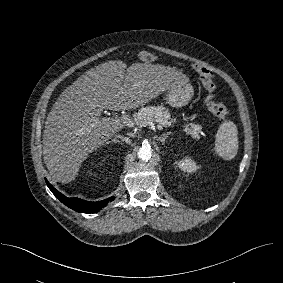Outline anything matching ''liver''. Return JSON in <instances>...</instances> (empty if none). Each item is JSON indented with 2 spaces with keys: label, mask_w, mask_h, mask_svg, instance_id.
Instances as JSON below:
<instances>
[{
  "label": "liver",
  "mask_w": 283,
  "mask_h": 283,
  "mask_svg": "<svg viewBox=\"0 0 283 283\" xmlns=\"http://www.w3.org/2000/svg\"><path fill=\"white\" fill-rule=\"evenodd\" d=\"M183 76L164 65L109 61L92 68L67 87L49 112L43 134V159L51 177L68 183L82 162L124 125L101 117L141 107L170 89Z\"/></svg>",
  "instance_id": "obj_1"
}]
</instances>
